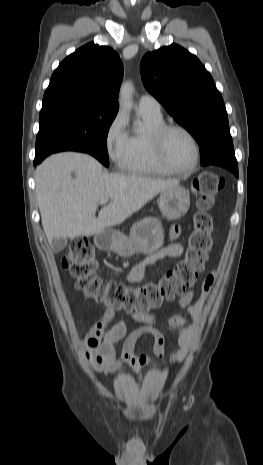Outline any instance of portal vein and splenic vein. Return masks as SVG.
Instances as JSON below:
<instances>
[{"label":"portal vein and splenic vein","instance_id":"obj_1","mask_svg":"<svg viewBox=\"0 0 263 465\" xmlns=\"http://www.w3.org/2000/svg\"><path fill=\"white\" fill-rule=\"evenodd\" d=\"M107 202H108V199H102V200L100 201V204L103 205V204H106Z\"/></svg>","mask_w":263,"mask_h":465}]
</instances>
